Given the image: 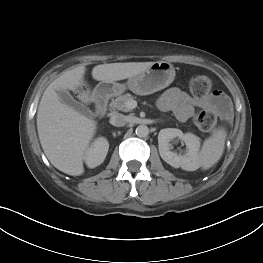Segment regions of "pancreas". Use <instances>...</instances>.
I'll return each instance as SVG.
<instances>
[{"instance_id": "1", "label": "pancreas", "mask_w": 263, "mask_h": 263, "mask_svg": "<svg viewBox=\"0 0 263 263\" xmlns=\"http://www.w3.org/2000/svg\"><path fill=\"white\" fill-rule=\"evenodd\" d=\"M134 100V96H132L130 93H126L123 95L118 96L117 98L113 99L110 102V107L115 110H121L124 112L130 111V109L126 106V103L128 101Z\"/></svg>"}]
</instances>
